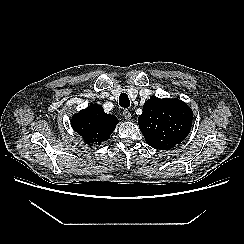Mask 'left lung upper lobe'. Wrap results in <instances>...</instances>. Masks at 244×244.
<instances>
[{"label":"left lung upper lobe","mask_w":244,"mask_h":244,"mask_svg":"<svg viewBox=\"0 0 244 244\" xmlns=\"http://www.w3.org/2000/svg\"><path fill=\"white\" fill-rule=\"evenodd\" d=\"M193 113L182 100L151 98L138 118L139 128L151 147L169 150L189 134Z\"/></svg>","instance_id":"5c2ea615"}]
</instances>
